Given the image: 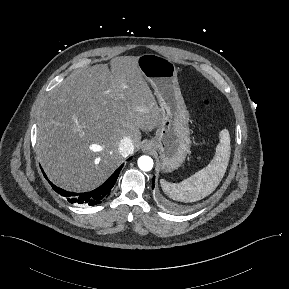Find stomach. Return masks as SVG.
Masks as SVG:
<instances>
[{"label": "stomach", "mask_w": 289, "mask_h": 289, "mask_svg": "<svg viewBox=\"0 0 289 289\" xmlns=\"http://www.w3.org/2000/svg\"><path fill=\"white\" fill-rule=\"evenodd\" d=\"M143 77L158 98L162 119L150 141L160 154L163 172L178 169L190 151L189 114L181 94L174 63L163 56L146 53L137 57Z\"/></svg>", "instance_id": "0dacf381"}]
</instances>
